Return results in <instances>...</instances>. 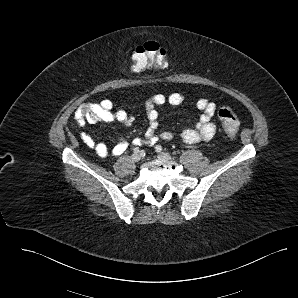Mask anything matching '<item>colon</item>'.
<instances>
[{
	"label": "colon",
	"mask_w": 298,
	"mask_h": 298,
	"mask_svg": "<svg viewBox=\"0 0 298 298\" xmlns=\"http://www.w3.org/2000/svg\"><path fill=\"white\" fill-rule=\"evenodd\" d=\"M167 64L165 50L155 41L145 42L132 50L131 68L135 72H144L150 68H165ZM218 116L227 136L235 137L240 128L237 115L229 107L220 106Z\"/></svg>",
	"instance_id": "obj_1"
}]
</instances>
